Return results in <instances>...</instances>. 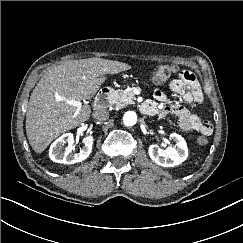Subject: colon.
<instances>
[{
    "mask_svg": "<svg viewBox=\"0 0 243 243\" xmlns=\"http://www.w3.org/2000/svg\"><path fill=\"white\" fill-rule=\"evenodd\" d=\"M179 70L175 65H161L154 68L151 72V78L155 83H162L170 79L174 74L178 73ZM183 72L180 73L182 75ZM208 143L205 136H200L197 138V144L204 146Z\"/></svg>",
    "mask_w": 243,
    "mask_h": 243,
    "instance_id": "5ec220e1",
    "label": "colon"
}]
</instances>
